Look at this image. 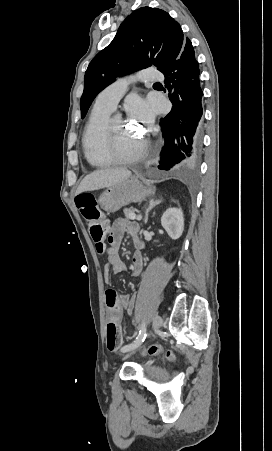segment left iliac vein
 Instances as JSON below:
<instances>
[{
    "instance_id": "obj_1",
    "label": "left iliac vein",
    "mask_w": 272,
    "mask_h": 451,
    "mask_svg": "<svg viewBox=\"0 0 272 451\" xmlns=\"http://www.w3.org/2000/svg\"><path fill=\"white\" fill-rule=\"evenodd\" d=\"M163 324V319L160 315H155L153 322H152V329L159 330ZM134 352H132L133 354ZM131 354L127 355L125 358H128Z\"/></svg>"
}]
</instances>
